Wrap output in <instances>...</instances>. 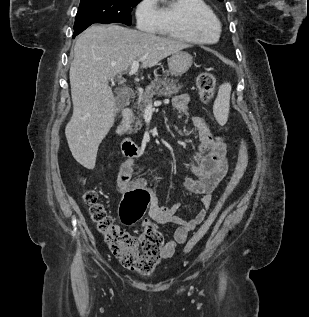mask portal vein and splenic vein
I'll return each mask as SVG.
<instances>
[{
  "instance_id": "1",
  "label": "portal vein and splenic vein",
  "mask_w": 309,
  "mask_h": 317,
  "mask_svg": "<svg viewBox=\"0 0 309 317\" xmlns=\"http://www.w3.org/2000/svg\"><path fill=\"white\" fill-rule=\"evenodd\" d=\"M139 61H140V60H134V61L132 62L131 70H130V72H129L130 75L134 74V73L138 70V68H139ZM148 105H149V106H152V102H150Z\"/></svg>"
}]
</instances>
